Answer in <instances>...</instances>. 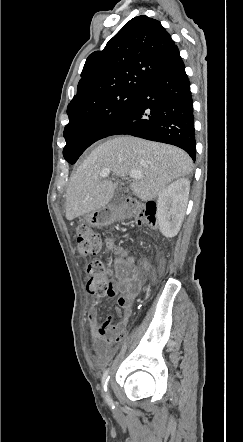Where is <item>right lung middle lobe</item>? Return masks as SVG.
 Here are the masks:
<instances>
[{
    "instance_id": "obj_1",
    "label": "right lung middle lobe",
    "mask_w": 243,
    "mask_h": 442,
    "mask_svg": "<svg viewBox=\"0 0 243 442\" xmlns=\"http://www.w3.org/2000/svg\"><path fill=\"white\" fill-rule=\"evenodd\" d=\"M138 91H122L99 100L94 105L76 110L69 116L64 129L66 146L63 156L74 164L79 156L127 109Z\"/></svg>"
}]
</instances>
